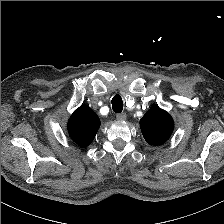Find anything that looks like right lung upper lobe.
Segmentation results:
<instances>
[{
	"label": "right lung upper lobe",
	"mask_w": 224,
	"mask_h": 224,
	"mask_svg": "<svg viewBox=\"0 0 224 224\" xmlns=\"http://www.w3.org/2000/svg\"><path fill=\"white\" fill-rule=\"evenodd\" d=\"M99 127V117L85 104L73 112L67 124L71 139L83 147L91 144Z\"/></svg>",
	"instance_id": "cb5924a9"
}]
</instances>
